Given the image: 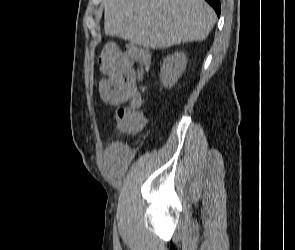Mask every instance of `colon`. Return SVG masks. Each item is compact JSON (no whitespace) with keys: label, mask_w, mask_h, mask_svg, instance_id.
Instances as JSON below:
<instances>
[{"label":"colon","mask_w":295,"mask_h":250,"mask_svg":"<svg viewBox=\"0 0 295 250\" xmlns=\"http://www.w3.org/2000/svg\"><path fill=\"white\" fill-rule=\"evenodd\" d=\"M138 50L142 49L135 46L119 49L113 44L104 45L99 56L102 71L109 72L120 60ZM114 122L119 129L133 133L140 131L144 127L146 119L140 110V105L127 103L115 111Z\"/></svg>","instance_id":"colon-1"}]
</instances>
